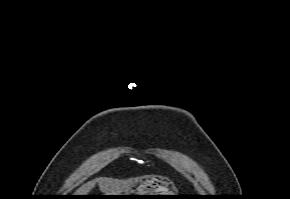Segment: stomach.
<instances>
[{"label":"stomach","mask_w":290,"mask_h":199,"mask_svg":"<svg viewBox=\"0 0 290 199\" xmlns=\"http://www.w3.org/2000/svg\"><path fill=\"white\" fill-rule=\"evenodd\" d=\"M110 195H175L168 187L167 183L157 179H146L135 185L133 188L126 190L120 194ZM116 199H152L161 196H114ZM170 197V196H168Z\"/></svg>","instance_id":"obj_1"}]
</instances>
